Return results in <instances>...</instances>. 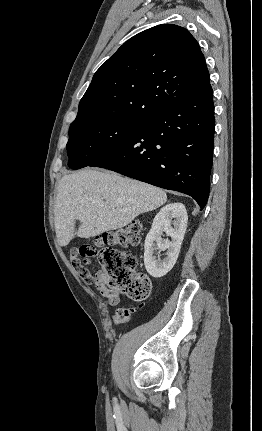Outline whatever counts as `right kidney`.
I'll list each match as a JSON object with an SVG mask.
<instances>
[{"instance_id": "right-kidney-1", "label": "right kidney", "mask_w": 262, "mask_h": 431, "mask_svg": "<svg viewBox=\"0 0 262 431\" xmlns=\"http://www.w3.org/2000/svg\"><path fill=\"white\" fill-rule=\"evenodd\" d=\"M172 219L174 220L172 221ZM187 221V211L182 203L167 204L155 216L144 244V264L151 276L162 277L175 265L185 235ZM164 232L171 237V241L162 238ZM157 249L167 250L164 260L156 259L154 251Z\"/></svg>"}]
</instances>
